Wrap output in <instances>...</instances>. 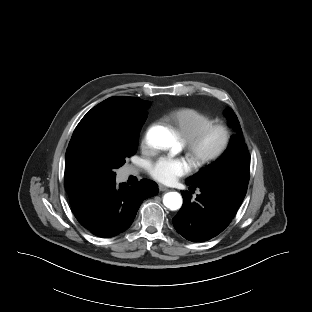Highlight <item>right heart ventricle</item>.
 Returning <instances> with one entry per match:
<instances>
[{"instance_id":"1","label":"right heart ventricle","mask_w":312,"mask_h":312,"mask_svg":"<svg viewBox=\"0 0 312 312\" xmlns=\"http://www.w3.org/2000/svg\"><path fill=\"white\" fill-rule=\"evenodd\" d=\"M166 119L170 121L183 140H187L213 122V119L193 108H180L171 112Z\"/></svg>"}]
</instances>
